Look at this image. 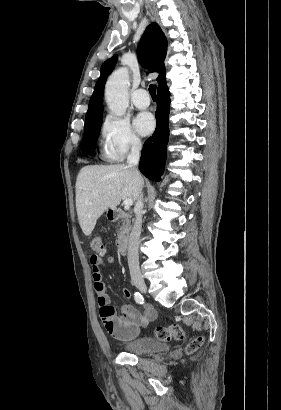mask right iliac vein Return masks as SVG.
Returning <instances> with one entry per match:
<instances>
[{
	"mask_svg": "<svg viewBox=\"0 0 281 410\" xmlns=\"http://www.w3.org/2000/svg\"><path fill=\"white\" fill-rule=\"evenodd\" d=\"M134 285L142 292L146 293L147 292V285L144 281H136Z\"/></svg>",
	"mask_w": 281,
	"mask_h": 410,
	"instance_id": "right-iliac-vein-1",
	"label": "right iliac vein"
}]
</instances>
